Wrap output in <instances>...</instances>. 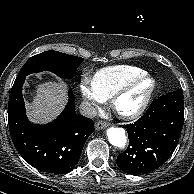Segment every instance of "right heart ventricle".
I'll use <instances>...</instances> for the list:
<instances>
[{
    "label": "right heart ventricle",
    "instance_id": "obj_1",
    "mask_svg": "<svg viewBox=\"0 0 194 194\" xmlns=\"http://www.w3.org/2000/svg\"><path fill=\"white\" fill-rule=\"evenodd\" d=\"M145 71L139 67L131 65L109 66L98 70L92 77V82L104 99H110L112 94L125 82L135 78Z\"/></svg>",
    "mask_w": 194,
    "mask_h": 194
}]
</instances>
